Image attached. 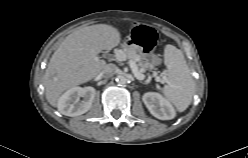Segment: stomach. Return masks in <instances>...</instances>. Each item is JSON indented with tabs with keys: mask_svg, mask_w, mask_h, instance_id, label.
Wrapping results in <instances>:
<instances>
[{
	"mask_svg": "<svg viewBox=\"0 0 248 158\" xmlns=\"http://www.w3.org/2000/svg\"><path fill=\"white\" fill-rule=\"evenodd\" d=\"M143 58L145 61L149 63V66L147 67V69L152 70L156 66V62L152 54H144Z\"/></svg>",
	"mask_w": 248,
	"mask_h": 158,
	"instance_id": "0dacf381",
	"label": "stomach"
}]
</instances>
